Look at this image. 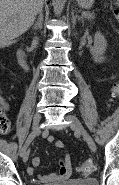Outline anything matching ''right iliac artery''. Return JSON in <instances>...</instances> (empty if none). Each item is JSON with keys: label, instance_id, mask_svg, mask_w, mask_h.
Masks as SVG:
<instances>
[{"label": "right iliac artery", "instance_id": "1", "mask_svg": "<svg viewBox=\"0 0 119 185\" xmlns=\"http://www.w3.org/2000/svg\"><path fill=\"white\" fill-rule=\"evenodd\" d=\"M34 135L31 133L29 136H28V138H27V140H26V142H25V144H24V146L21 148V150H20V155L22 156L23 155V153L25 152V150L27 149V147H28V145L31 143V141L34 139Z\"/></svg>", "mask_w": 119, "mask_h": 185}]
</instances>
